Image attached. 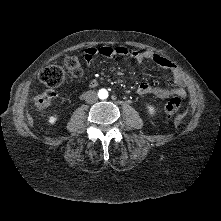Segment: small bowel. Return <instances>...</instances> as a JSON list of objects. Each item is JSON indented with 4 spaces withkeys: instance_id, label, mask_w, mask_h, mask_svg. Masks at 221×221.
<instances>
[{
    "instance_id": "obj_1",
    "label": "small bowel",
    "mask_w": 221,
    "mask_h": 221,
    "mask_svg": "<svg viewBox=\"0 0 221 221\" xmlns=\"http://www.w3.org/2000/svg\"><path fill=\"white\" fill-rule=\"evenodd\" d=\"M96 56L109 59L126 57L132 59L137 65L142 64L145 61H151L171 73L175 84L174 87L165 88L158 85H151L147 82H142L137 89L139 95L151 94L161 99L172 96H186V90L184 88L186 80L180 69L172 61L157 53L151 51H137L127 46L89 47L84 50V59L87 63H91Z\"/></svg>"
}]
</instances>
